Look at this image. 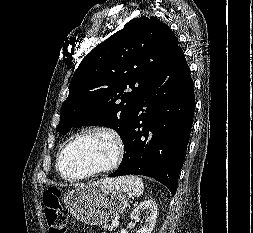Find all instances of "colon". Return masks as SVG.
<instances>
[{"label": "colon", "mask_w": 253, "mask_h": 233, "mask_svg": "<svg viewBox=\"0 0 253 233\" xmlns=\"http://www.w3.org/2000/svg\"><path fill=\"white\" fill-rule=\"evenodd\" d=\"M42 200L49 233H65L66 218L60 203V191L50 188L44 192Z\"/></svg>", "instance_id": "5ec220e1"}]
</instances>
